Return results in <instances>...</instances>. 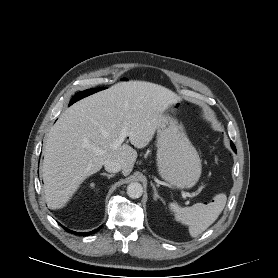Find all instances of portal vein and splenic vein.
I'll return each instance as SVG.
<instances>
[{
    "label": "portal vein and splenic vein",
    "instance_id": "18ae733b",
    "mask_svg": "<svg viewBox=\"0 0 278 278\" xmlns=\"http://www.w3.org/2000/svg\"><path fill=\"white\" fill-rule=\"evenodd\" d=\"M126 136H127L126 132L125 131L122 132L121 135L113 142L112 148L116 149L118 146H120L124 142ZM98 153L101 154L103 152L101 150H99ZM181 193H182V196H184V197H193V195L189 192L181 191Z\"/></svg>",
    "mask_w": 278,
    "mask_h": 278
}]
</instances>
